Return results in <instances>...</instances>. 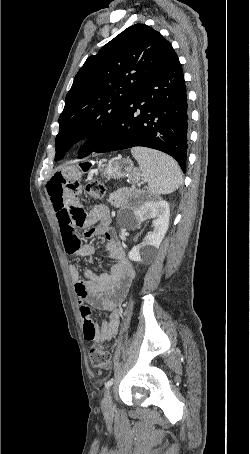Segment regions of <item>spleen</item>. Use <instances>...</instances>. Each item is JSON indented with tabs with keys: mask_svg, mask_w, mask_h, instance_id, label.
<instances>
[{
	"mask_svg": "<svg viewBox=\"0 0 250 454\" xmlns=\"http://www.w3.org/2000/svg\"><path fill=\"white\" fill-rule=\"evenodd\" d=\"M133 157L138 161L142 176L148 182L153 195L173 193L182 183V174L177 162L170 156L152 149L134 147Z\"/></svg>",
	"mask_w": 250,
	"mask_h": 454,
	"instance_id": "spleen-1",
	"label": "spleen"
}]
</instances>
